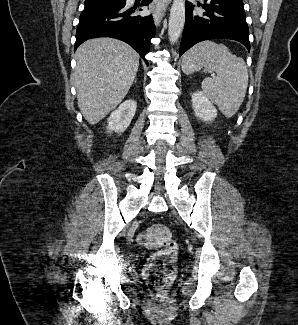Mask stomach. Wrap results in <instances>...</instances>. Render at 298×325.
I'll list each match as a JSON object with an SVG mask.
<instances>
[{"label": "stomach", "instance_id": "1", "mask_svg": "<svg viewBox=\"0 0 298 325\" xmlns=\"http://www.w3.org/2000/svg\"><path fill=\"white\" fill-rule=\"evenodd\" d=\"M184 62H185V56H183V64H184Z\"/></svg>", "mask_w": 298, "mask_h": 325}]
</instances>
